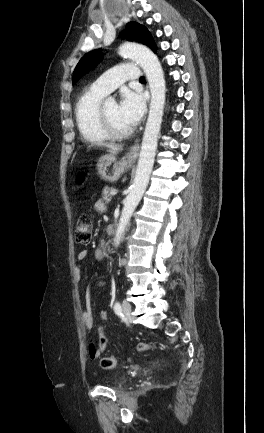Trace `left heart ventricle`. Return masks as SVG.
Returning a JSON list of instances; mask_svg holds the SVG:
<instances>
[{
	"mask_svg": "<svg viewBox=\"0 0 264 433\" xmlns=\"http://www.w3.org/2000/svg\"><path fill=\"white\" fill-rule=\"evenodd\" d=\"M106 112L109 116V119L113 126L121 131L127 130L131 128V125H129L120 115L118 104L115 102H109L105 104Z\"/></svg>",
	"mask_w": 264,
	"mask_h": 433,
	"instance_id": "b2bd125f",
	"label": "left heart ventricle"
}]
</instances>
